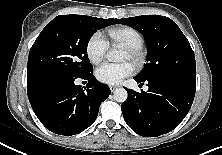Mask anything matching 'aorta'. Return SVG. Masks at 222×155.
I'll use <instances>...</instances> for the list:
<instances>
[{"mask_svg":"<svg viewBox=\"0 0 222 155\" xmlns=\"http://www.w3.org/2000/svg\"><path fill=\"white\" fill-rule=\"evenodd\" d=\"M106 57L109 61H119L121 57V51L117 49H112L107 52ZM127 91L124 88H118L113 93V98L115 101L123 103L127 100Z\"/></svg>","mask_w":222,"mask_h":155,"instance_id":"1","label":"aorta"}]
</instances>
